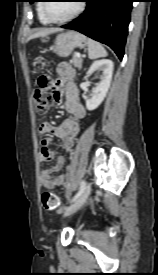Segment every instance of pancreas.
Listing matches in <instances>:
<instances>
[{
	"mask_svg": "<svg viewBox=\"0 0 158 275\" xmlns=\"http://www.w3.org/2000/svg\"><path fill=\"white\" fill-rule=\"evenodd\" d=\"M72 63L74 67L81 69L82 68V59L81 57H77L76 54L73 55Z\"/></svg>",
	"mask_w": 158,
	"mask_h": 275,
	"instance_id": "cf45deb5",
	"label": "pancreas"
}]
</instances>
